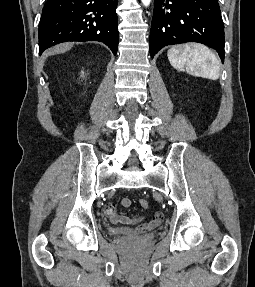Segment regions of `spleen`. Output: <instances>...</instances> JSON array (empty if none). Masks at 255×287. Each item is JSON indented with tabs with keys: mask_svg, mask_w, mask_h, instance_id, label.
Returning a JSON list of instances; mask_svg holds the SVG:
<instances>
[{
	"mask_svg": "<svg viewBox=\"0 0 255 287\" xmlns=\"http://www.w3.org/2000/svg\"><path fill=\"white\" fill-rule=\"evenodd\" d=\"M168 60L173 68H188L199 72L201 78L218 80L220 74L219 60L215 54L201 44H180L168 50Z\"/></svg>",
	"mask_w": 255,
	"mask_h": 287,
	"instance_id": "3e777b00",
	"label": "spleen"
}]
</instances>
